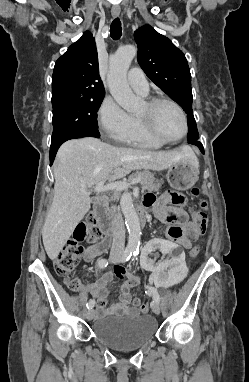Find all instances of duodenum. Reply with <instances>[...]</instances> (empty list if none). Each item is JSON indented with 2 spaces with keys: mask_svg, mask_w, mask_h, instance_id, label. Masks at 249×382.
<instances>
[{
  "mask_svg": "<svg viewBox=\"0 0 249 382\" xmlns=\"http://www.w3.org/2000/svg\"><path fill=\"white\" fill-rule=\"evenodd\" d=\"M106 208L107 199L105 196H100L94 204L93 211L101 225L104 235L109 238L114 234V225L111 219L106 215ZM139 219L140 224L144 225L146 222V217L143 206H139Z\"/></svg>",
  "mask_w": 249,
  "mask_h": 382,
  "instance_id": "obj_1",
  "label": "duodenum"
}]
</instances>
